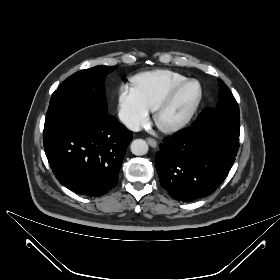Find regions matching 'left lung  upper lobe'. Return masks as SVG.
Wrapping results in <instances>:
<instances>
[{"mask_svg":"<svg viewBox=\"0 0 280 280\" xmlns=\"http://www.w3.org/2000/svg\"><path fill=\"white\" fill-rule=\"evenodd\" d=\"M220 100L215 108H205L195 121V124H206L219 128L236 139L240 134V112L238 104L226 86L219 80Z\"/></svg>","mask_w":280,"mask_h":280,"instance_id":"left-lung-upper-lobe-1","label":"left lung upper lobe"}]
</instances>
